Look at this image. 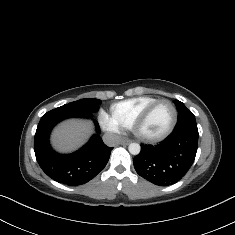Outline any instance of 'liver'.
<instances>
[{
    "label": "liver",
    "instance_id": "1",
    "mask_svg": "<svg viewBox=\"0 0 235 235\" xmlns=\"http://www.w3.org/2000/svg\"><path fill=\"white\" fill-rule=\"evenodd\" d=\"M91 131L90 123L68 121L55 130L53 143L60 150H72L82 144Z\"/></svg>",
    "mask_w": 235,
    "mask_h": 235
}]
</instances>
